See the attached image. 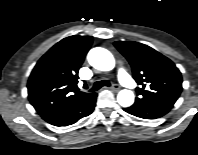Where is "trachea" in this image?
Returning a JSON list of instances; mask_svg holds the SVG:
<instances>
[{
    "label": "trachea",
    "instance_id": "1",
    "mask_svg": "<svg viewBox=\"0 0 198 155\" xmlns=\"http://www.w3.org/2000/svg\"><path fill=\"white\" fill-rule=\"evenodd\" d=\"M104 86H111V83L108 81V80H101V81H97L95 82V84L93 85V87L90 89L91 92L93 91H97L99 90L101 87H104Z\"/></svg>",
    "mask_w": 198,
    "mask_h": 155
}]
</instances>
